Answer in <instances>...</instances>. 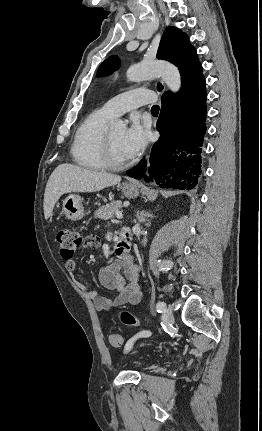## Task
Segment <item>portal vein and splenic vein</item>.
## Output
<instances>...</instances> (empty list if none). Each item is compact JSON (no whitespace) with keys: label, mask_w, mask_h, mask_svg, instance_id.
Here are the masks:
<instances>
[{"label":"portal vein and splenic vein","mask_w":262,"mask_h":431,"mask_svg":"<svg viewBox=\"0 0 262 431\" xmlns=\"http://www.w3.org/2000/svg\"><path fill=\"white\" fill-rule=\"evenodd\" d=\"M116 218H117V219H122V218H123L122 213H121V212H117V213H116Z\"/></svg>","instance_id":"18ae733b"}]
</instances>
